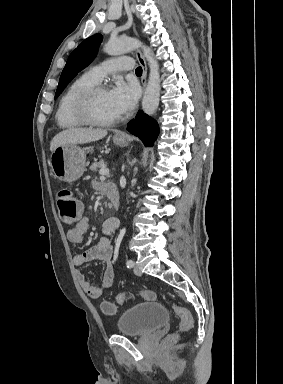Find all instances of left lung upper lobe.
Instances as JSON below:
<instances>
[{
	"mask_svg": "<svg viewBox=\"0 0 283 384\" xmlns=\"http://www.w3.org/2000/svg\"><path fill=\"white\" fill-rule=\"evenodd\" d=\"M101 34H95L79 44V46L70 54L67 63L60 76L59 84L55 93L57 98L67 84L95 58L98 46L102 41Z\"/></svg>",
	"mask_w": 283,
	"mask_h": 384,
	"instance_id": "1",
	"label": "left lung upper lobe"
}]
</instances>
